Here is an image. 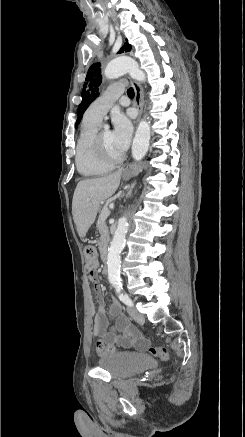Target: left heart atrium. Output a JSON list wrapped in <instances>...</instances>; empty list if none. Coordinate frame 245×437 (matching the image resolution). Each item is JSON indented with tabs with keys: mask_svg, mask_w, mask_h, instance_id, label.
Returning a JSON list of instances; mask_svg holds the SVG:
<instances>
[{
	"mask_svg": "<svg viewBox=\"0 0 245 437\" xmlns=\"http://www.w3.org/2000/svg\"><path fill=\"white\" fill-rule=\"evenodd\" d=\"M112 136L114 145L121 152H125L130 144L132 136V124L130 119L123 113H116L112 117Z\"/></svg>",
	"mask_w": 245,
	"mask_h": 437,
	"instance_id": "39dd6f15",
	"label": "left heart atrium"
}]
</instances>
